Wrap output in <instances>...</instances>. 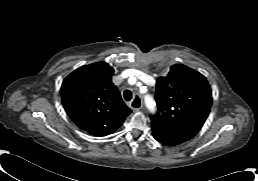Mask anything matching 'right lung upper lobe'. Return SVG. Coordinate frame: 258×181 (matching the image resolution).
<instances>
[{
  "label": "right lung upper lobe",
  "instance_id": "1",
  "mask_svg": "<svg viewBox=\"0 0 258 181\" xmlns=\"http://www.w3.org/2000/svg\"><path fill=\"white\" fill-rule=\"evenodd\" d=\"M114 69L105 62L82 66L65 78L61 97L74 123L92 135L116 130L131 113L111 81Z\"/></svg>",
  "mask_w": 258,
  "mask_h": 181
}]
</instances>
